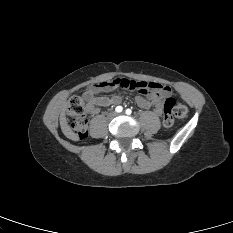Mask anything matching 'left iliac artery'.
Masks as SVG:
<instances>
[{
  "label": "left iliac artery",
  "instance_id": "left-iliac-artery-1",
  "mask_svg": "<svg viewBox=\"0 0 233 233\" xmlns=\"http://www.w3.org/2000/svg\"><path fill=\"white\" fill-rule=\"evenodd\" d=\"M131 113H132L131 109H127V110H126V114H127V115H130Z\"/></svg>",
  "mask_w": 233,
  "mask_h": 233
}]
</instances>
